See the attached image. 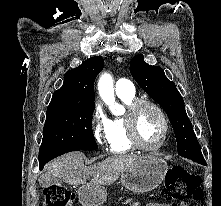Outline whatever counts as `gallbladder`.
Here are the masks:
<instances>
[{
  "mask_svg": "<svg viewBox=\"0 0 221 206\" xmlns=\"http://www.w3.org/2000/svg\"><path fill=\"white\" fill-rule=\"evenodd\" d=\"M58 181V180H57ZM55 180H50V181H40V186H54Z\"/></svg>",
  "mask_w": 221,
  "mask_h": 206,
  "instance_id": "1",
  "label": "gallbladder"
}]
</instances>
